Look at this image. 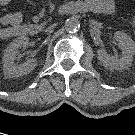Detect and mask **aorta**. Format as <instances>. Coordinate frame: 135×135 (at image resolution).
<instances>
[{
	"label": "aorta",
	"mask_w": 135,
	"mask_h": 135,
	"mask_svg": "<svg viewBox=\"0 0 135 135\" xmlns=\"http://www.w3.org/2000/svg\"><path fill=\"white\" fill-rule=\"evenodd\" d=\"M80 28V22L77 18H69L65 22V29L69 33L77 32Z\"/></svg>",
	"instance_id": "obj_1"
}]
</instances>
